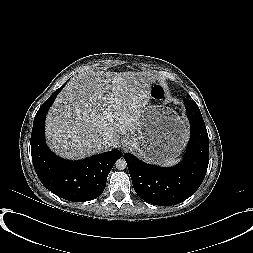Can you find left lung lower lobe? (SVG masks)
I'll list each match as a JSON object with an SVG mask.
<instances>
[{"label": "left lung lower lobe", "mask_w": 253, "mask_h": 253, "mask_svg": "<svg viewBox=\"0 0 253 253\" xmlns=\"http://www.w3.org/2000/svg\"><path fill=\"white\" fill-rule=\"evenodd\" d=\"M191 125V137L182 162L162 168L124 154L133 187L140 198L154 205L170 206L189 198L201 185L209 163V141L197 104L184 99Z\"/></svg>", "instance_id": "1"}]
</instances>
